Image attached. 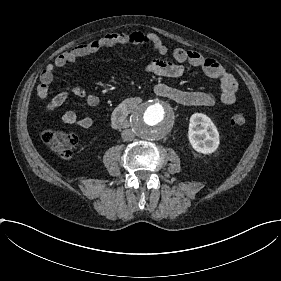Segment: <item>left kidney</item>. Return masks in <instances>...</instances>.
Returning <instances> with one entry per match:
<instances>
[{"label": "left kidney", "mask_w": 281, "mask_h": 281, "mask_svg": "<svg viewBox=\"0 0 281 281\" xmlns=\"http://www.w3.org/2000/svg\"><path fill=\"white\" fill-rule=\"evenodd\" d=\"M188 140L191 147L203 155L213 154L220 145V136L217 127L207 115L202 113L191 115Z\"/></svg>", "instance_id": "1"}]
</instances>
